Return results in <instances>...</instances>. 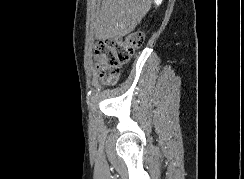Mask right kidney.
<instances>
[{
  "label": "right kidney",
  "instance_id": "obj_1",
  "mask_svg": "<svg viewBox=\"0 0 244 179\" xmlns=\"http://www.w3.org/2000/svg\"><path fill=\"white\" fill-rule=\"evenodd\" d=\"M156 6H160L162 4L163 0H154Z\"/></svg>",
  "mask_w": 244,
  "mask_h": 179
}]
</instances>
